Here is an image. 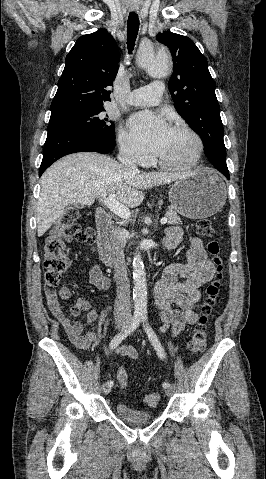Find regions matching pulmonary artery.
<instances>
[{"instance_id":"obj_1","label":"pulmonary artery","mask_w":266,"mask_h":479,"mask_svg":"<svg viewBox=\"0 0 266 479\" xmlns=\"http://www.w3.org/2000/svg\"><path fill=\"white\" fill-rule=\"evenodd\" d=\"M163 92V82L154 81L147 86L130 92L126 97V102L129 105L141 107L157 105L162 99Z\"/></svg>"}]
</instances>
